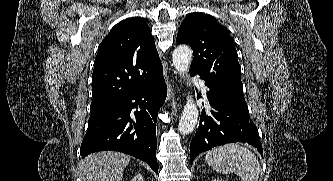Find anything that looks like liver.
Masks as SVG:
<instances>
[{
	"label": "liver",
	"instance_id": "6515ba94",
	"mask_svg": "<svg viewBox=\"0 0 333 181\" xmlns=\"http://www.w3.org/2000/svg\"><path fill=\"white\" fill-rule=\"evenodd\" d=\"M130 156L120 152L101 151L89 154L79 164L81 181H122Z\"/></svg>",
	"mask_w": 333,
	"mask_h": 181
}]
</instances>
